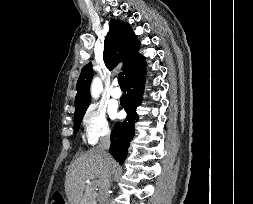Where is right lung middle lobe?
I'll list each match as a JSON object with an SVG mask.
<instances>
[{"mask_svg": "<svg viewBox=\"0 0 253 204\" xmlns=\"http://www.w3.org/2000/svg\"><path fill=\"white\" fill-rule=\"evenodd\" d=\"M86 109L82 110L79 114L74 116V132L77 133L80 127V123L85 114Z\"/></svg>", "mask_w": 253, "mask_h": 204, "instance_id": "right-lung-middle-lobe-1", "label": "right lung middle lobe"}]
</instances>
